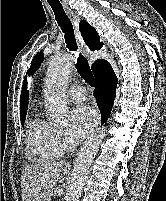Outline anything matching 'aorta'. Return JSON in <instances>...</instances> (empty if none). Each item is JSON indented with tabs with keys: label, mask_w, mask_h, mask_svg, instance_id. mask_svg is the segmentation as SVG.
I'll list each match as a JSON object with an SVG mask.
<instances>
[{
	"label": "aorta",
	"mask_w": 166,
	"mask_h": 201,
	"mask_svg": "<svg viewBox=\"0 0 166 201\" xmlns=\"http://www.w3.org/2000/svg\"><path fill=\"white\" fill-rule=\"evenodd\" d=\"M73 63L74 57L71 54H64L49 62L45 77V106L49 117L56 123L67 122L68 106L65 92ZM105 135V130H101L90 137L78 153L65 195L66 201H80L91 164Z\"/></svg>",
	"instance_id": "obj_1"
}]
</instances>
